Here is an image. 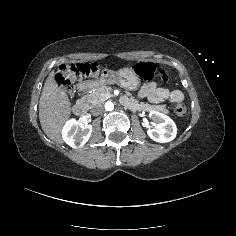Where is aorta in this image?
<instances>
[{
  "label": "aorta",
  "mask_w": 236,
  "mask_h": 236,
  "mask_svg": "<svg viewBox=\"0 0 236 236\" xmlns=\"http://www.w3.org/2000/svg\"><path fill=\"white\" fill-rule=\"evenodd\" d=\"M114 109V104L111 101H107L105 103V110L106 111H112Z\"/></svg>",
  "instance_id": "762f6f07"
}]
</instances>
